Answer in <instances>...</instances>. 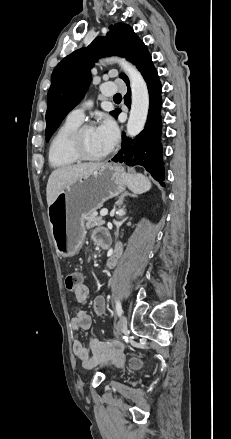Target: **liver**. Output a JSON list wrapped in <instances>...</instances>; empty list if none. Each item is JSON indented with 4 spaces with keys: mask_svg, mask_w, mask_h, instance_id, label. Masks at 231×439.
I'll use <instances>...</instances> for the list:
<instances>
[{
    "mask_svg": "<svg viewBox=\"0 0 231 439\" xmlns=\"http://www.w3.org/2000/svg\"><path fill=\"white\" fill-rule=\"evenodd\" d=\"M103 163H80L55 169L49 176L46 188L48 206L69 185L94 173Z\"/></svg>",
    "mask_w": 231,
    "mask_h": 439,
    "instance_id": "1",
    "label": "liver"
}]
</instances>
